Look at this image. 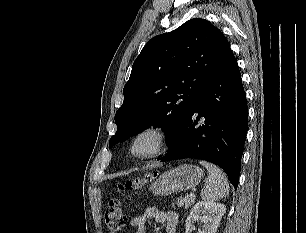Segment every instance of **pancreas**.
Segmentation results:
<instances>
[{
	"instance_id": "cf45deb5",
	"label": "pancreas",
	"mask_w": 306,
	"mask_h": 233,
	"mask_svg": "<svg viewBox=\"0 0 306 233\" xmlns=\"http://www.w3.org/2000/svg\"><path fill=\"white\" fill-rule=\"evenodd\" d=\"M194 202L195 198H192L190 196L180 197L175 200V204L178 207H185L186 209L189 208L191 205H193Z\"/></svg>"
}]
</instances>
